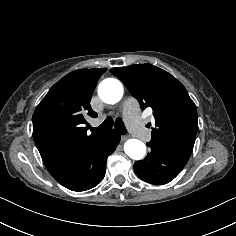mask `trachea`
<instances>
[{
	"label": "trachea",
	"mask_w": 236,
	"mask_h": 236,
	"mask_svg": "<svg viewBox=\"0 0 236 236\" xmlns=\"http://www.w3.org/2000/svg\"><path fill=\"white\" fill-rule=\"evenodd\" d=\"M114 122L113 119L111 117H107L105 119V121L98 127H92L91 131L95 132V131H104V130H109L112 128ZM115 129L118 130L121 134L125 135L127 133L125 125L122 121L121 118L116 119L115 121Z\"/></svg>",
	"instance_id": "1"
}]
</instances>
